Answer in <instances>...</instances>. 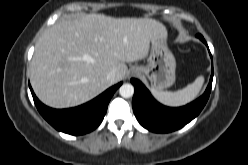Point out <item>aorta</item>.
I'll return each mask as SVG.
<instances>
[{
  "mask_svg": "<svg viewBox=\"0 0 248 165\" xmlns=\"http://www.w3.org/2000/svg\"><path fill=\"white\" fill-rule=\"evenodd\" d=\"M119 94L123 97V98H129L132 97L134 94V87L131 84H123L120 88H119Z\"/></svg>",
  "mask_w": 248,
  "mask_h": 165,
  "instance_id": "aorta-1",
  "label": "aorta"
}]
</instances>
